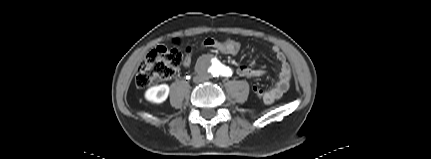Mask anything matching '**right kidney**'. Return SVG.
<instances>
[{
    "instance_id": "ca27d5eb",
    "label": "right kidney",
    "mask_w": 431,
    "mask_h": 159,
    "mask_svg": "<svg viewBox=\"0 0 431 159\" xmlns=\"http://www.w3.org/2000/svg\"><path fill=\"white\" fill-rule=\"evenodd\" d=\"M169 91L170 88L167 84L152 86L145 92V98L152 103L160 104L167 99Z\"/></svg>"
}]
</instances>
